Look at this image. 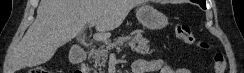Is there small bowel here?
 I'll use <instances>...</instances> for the list:
<instances>
[{
	"instance_id": "c3829d8e",
	"label": "small bowel",
	"mask_w": 244,
	"mask_h": 73,
	"mask_svg": "<svg viewBox=\"0 0 244 73\" xmlns=\"http://www.w3.org/2000/svg\"><path fill=\"white\" fill-rule=\"evenodd\" d=\"M133 73H190L186 68L172 69L168 64L160 59L145 60L140 59L132 65Z\"/></svg>"
}]
</instances>
